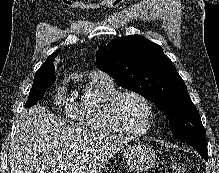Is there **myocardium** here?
<instances>
[{"instance_id": "1", "label": "myocardium", "mask_w": 219, "mask_h": 173, "mask_svg": "<svg viewBox=\"0 0 219 173\" xmlns=\"http://www.w3.org/2000/svg\"><path fill=\"white\" fill-rule=\"evenodd\" d=\"M125 96L137 97L144 103V105L147 108L148 119L145 127L140 131H130L124 128L120 123L118 117V106L122 98H124ZM105 109L110 124L119 134L123 136H127L130 138H138L147 135L152 130L154 119H155V109L152 102L148 99V97H146L144 94H142L139 91L131 90V89L117 91L113 96H111L108 99Z\"/></svg>"}]
</instances>
